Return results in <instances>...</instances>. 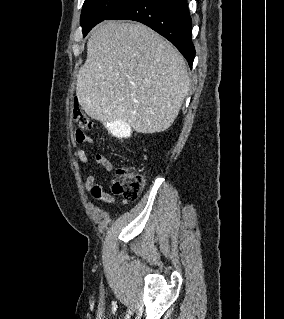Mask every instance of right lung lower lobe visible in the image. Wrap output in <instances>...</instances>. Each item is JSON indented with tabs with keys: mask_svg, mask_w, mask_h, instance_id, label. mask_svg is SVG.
<instances>
[{
	"mask_svg": "<svg viewBox=\"0 0 284 319\" xmlns=\"http://www.w3.org/2000/svg\"><path fill=\"white\" fill-rule=\"evenodd\" d=\"M111 19L134 20L149 26L168 39L192 68L195 48L187 0H132L107 18Z\"/></svg>",
	"mask_w": 284,
	"mask_h": 319,
	"instance_id": "right-lung-lower-lobe-1",
	"label": "right lung lower lobe"
}]
</instances>
